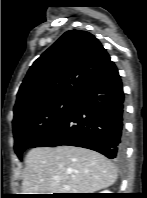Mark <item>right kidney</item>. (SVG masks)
<instances>
[{
  "instance_id": "1",
  "label": "right kidney",
  "mask_w": 147,
  "mask_h": 198,
  "mask_svg": "<svg viewBox=\"0 0 147 198\" xmlns=\"http://www.w3.org/2000/svg\"><path fill=\"white\" fill-rule=\"evenodd\" d=\"M110 191H102L101 193H109Z\"/></svg>"
}]
</instances>
